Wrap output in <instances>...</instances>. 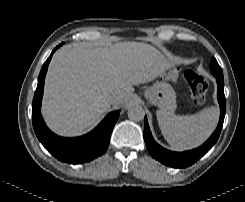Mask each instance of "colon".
Segmentation results:
<instances>
[{
    "mask_svg": "<svg viewBox=\"0 0 245 202\" xmlns=\"http://www.w3.org/2000/svg\"><path fill=\"white\" fill-rule=\"evenodd\" d=\"M186 83L190 86L195 102L201 103L205 100L208 82L205 77L198 75L194 70L187 69L183 73Z\"/></svg>",
    "mask_w": 245,
    "mask_h": 202,
    "instance_id": "colon-1",
    "label": "colon"
}]
</instances>
